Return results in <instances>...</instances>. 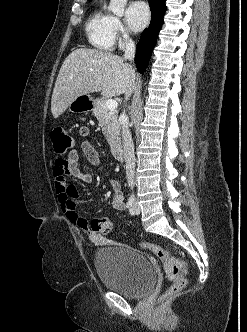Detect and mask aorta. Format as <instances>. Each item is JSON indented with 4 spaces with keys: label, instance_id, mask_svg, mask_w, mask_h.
Masks as SVG:
<instances>
[{
    "label": "aorta",
    "instance_id": "obj_1",
    "mask_svg": "<svg viewBox=\"0 0 247 332\" xmlns=\"http://www.w3.org/2000/svg\"><path fill=\"white\" fill-rule=\"evenodd\" d=\"M126 3L127 0H110L108 10L113 12L116 16L121 17L124 15Z\"/></svg>",
    "mask_w": 247,
    "mask_h": 332
}]
</instances>
